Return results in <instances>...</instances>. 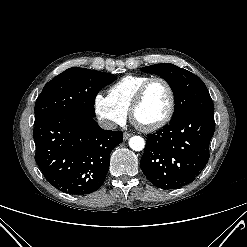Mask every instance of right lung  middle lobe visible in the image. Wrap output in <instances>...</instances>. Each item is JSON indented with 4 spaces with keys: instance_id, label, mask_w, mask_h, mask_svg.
<instances>
[{
    "instance_id": "dd1d6c3e",
    "label": "right lung middle lobe",
    "mask_w": 247,
    "mask_h": 247,
    "mask_svg": "<svg viewBox=\"0 0 247 247\" xmlns=\"http://www.w3.org/2000/svg\"><path fill=\"white\" fill-rule=\"evenodd\" d=\"M115 79L112 74L85 68L65 70L44 86L35 103V121L58 114L95 117L98 91Z\"/></svg>"
}]
</instances>
